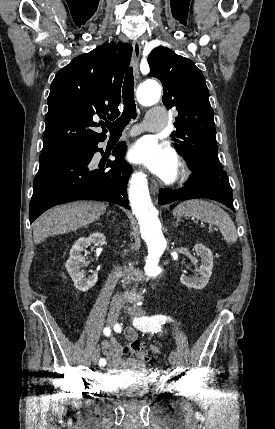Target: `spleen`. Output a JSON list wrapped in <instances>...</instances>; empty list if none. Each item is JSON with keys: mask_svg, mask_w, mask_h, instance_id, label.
I'll use <instances>...</instances> for the list:
<instances>
[{"mask_svg": "<svg viewBox=\"0 0 275 429\" xmlns=\"http://www.w3.org/2000/svg\"><path fill=\"white\" fill-rule=\"evenodd\" d=\"M174 215L193 217L217 226L227 243H235L238 235L230 216L218 205L205 200H187L179 204Z\"/></svg>", "mask_w": 275, "mask_h": 429, "instance_id": "spleen-1", "label": "spleen"}]
</instances>
